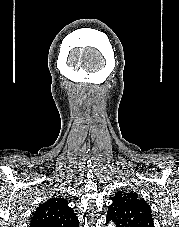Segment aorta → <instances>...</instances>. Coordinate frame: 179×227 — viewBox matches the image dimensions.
Returning <instances> with one entry per match:
<instances>
[{
    "mask_svg": "<svg viewBox=\"0 0 179 227\" xmlns=\"http://www.w3.org/2000/svg\"><path fill=\"white\" fill-rule=\"evenodd\" d=\"M108 227H115V225H114L113 223H110V224L108 225Z\"/></svg>",
    "mask_w": 179,
    "mask_h": 227,
    "instance_id": "762f6f07",
    "label": "aorta"
}]
</instances>
